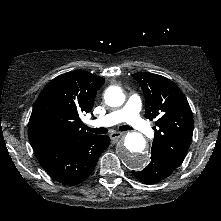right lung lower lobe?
Here are the masks:
<instances>
[{"instance_id":"obj_1","label":"right lung lower lobe","mask_w":221,"mask_h":221,"mask_svg":"<svg viewBox=\"0 0 221 221\" xmlns=\"http://www.w3.org/2000/svg\"><path fill=\"white\" fill-rule=\"evenodd\" d=\"M109 144L108 136L94 135L75 142L33 149L38 161L52 178L66 185H76L93 172L101 152Z\"/></svg>"}]
</instances>
